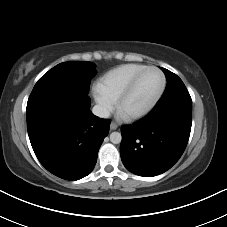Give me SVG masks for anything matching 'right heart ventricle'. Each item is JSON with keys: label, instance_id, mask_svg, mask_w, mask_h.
<instances>
[{"label": "right heart ventricle", "instance_id": "1", "mask_svg": "<svg viewBox=\"0 0 227 227\" xmlns=\"http://www.w3.org/2000/svg\"><path fill=\"white\" fill-rule=\"evenodd\" d=\"M146 65L138 63H128L120 65L108 71L100 80L98 88L117 100L135 75Z\"/></svg>", "mask_w": 227, "mask_h": 227}]
</instances>
